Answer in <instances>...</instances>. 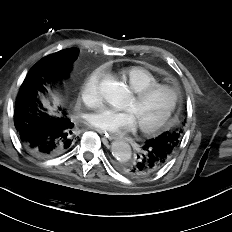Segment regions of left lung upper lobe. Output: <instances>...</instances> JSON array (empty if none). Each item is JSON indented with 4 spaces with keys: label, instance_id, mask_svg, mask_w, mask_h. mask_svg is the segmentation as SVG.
I'll use <instances>...</instances> for the list:
<instances>
[{
    "label": "left lung upper lobe",
    "instance_id": "obj_1",
    "mask_svg": "<svg viewBox=\"0 0 232 232\" xmlns=\"http://www.w3.org/2000/svg\"><path fill=\"white\" fill-rule=\"evenodd\" d=\"M181 133L182 131L178 129H173L162 133L161 135H159L156 138H153L152 140L157 141L166 146L172 152L173 155L174 152L177 150L178 146L180 145Z\"/></svg>",
    "mask_w": 232,
    "mask_h": 232
}]
</instances>
